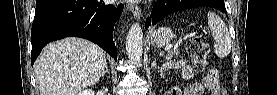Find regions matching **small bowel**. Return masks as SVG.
<instances>
[{
    "instance_id": "small-bowel-1",
    "label": "small bowel",
    "mask_w": 277,
    "mask_h": 95,
    "mask_svg": "<svg viewBox=\"0 0 277 95\" xmlns=\"http://www.w3.org/2000/svg\"><path fill=\"white\" fill-rule=\"evenodd\" d=\"M182 64L181 73L180 76L184 80H190L195 76V72L193 70V67L184 62H180ZM207 88L209 91H211V95H224L226 94L225 91L217 84L211 83L208 81V78H205L204 86L200 84H190L187 87L184 88L182 91L180 88L172 87L168 89L165 94L166 95H202L203 89Z\"/></svg>"
}]
</instances>
